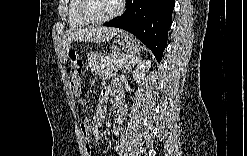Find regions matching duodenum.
<instances>
[{
  "instance_id": "obj_1",
  "label": "duodenum",
  "mask_w": 247,
  "mask_h": 156,
  "mask_svg": "<svg viewBox=\"0 0 247 156\" xmlns=\"http://www.w3.org/2000/svg\"><path fill=\"white\" fill-rule=\"evenodd\" d=\"M114 119L115 120H121L123 117V109L121 107H116L113 113Z\"/></svg>"
}]
</instances>
